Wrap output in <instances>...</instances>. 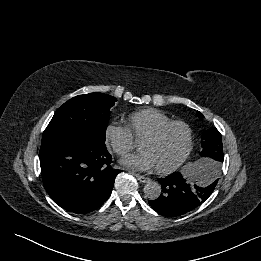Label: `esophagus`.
<instances>
[{"label": "esophagus", "mask_w": 261, "mask_h": 261, "mask_svg": "<svg viewBox=\"0 0 261 261\" xmlns=\"http://www.w3.org/2000/svg\"><path fill=\"white\" fill-rule=\"evenodd\" d=\"M136 178L142 182V183H148L150 181V178L139 175V174H135Z\"/></svg>", "instance_id": "obj_1"}]
</instances>
